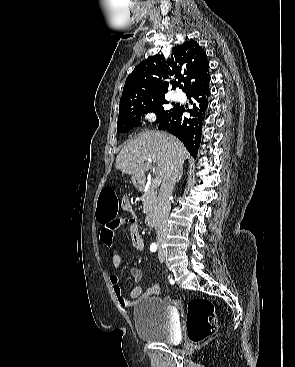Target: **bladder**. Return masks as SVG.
<instances>
[{"mask_svg":"<svg viewBox=\"0 0 295 367\" xmlns=\"http://www.w3.org/2000/svg\"><path fill=\"white\" fill-rule=\"evenodd\" d=\"M134 324L144 341L171 344L177 339L176 311L164 299L141 298L134 308Z\"/></svg>","mask_w":295,"mask_h":367,"instance_id":"1","label":"bladder"}]
</instances>
